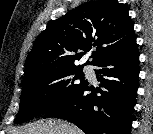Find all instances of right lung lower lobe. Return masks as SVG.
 Listing matches in <instances>:
<instances>
[{"label": "right lung lower lobe", "instance_id": "right-lung-lower-lobe-1", "mask_svg": "<svg viewBox=\"0 0 153 134\" xmlns=\"http://www.w3.org/2000/svg\"><path fill=\"white\" fill-rule=\"evenodd\" d=\"M95 70L97 93L88 84L67 101L47 111L75 123L86 134H130L139 80L137 44L109 55Z\"/></svg>", "mask_w": 153, "mask_h": 134}]
</instances>
